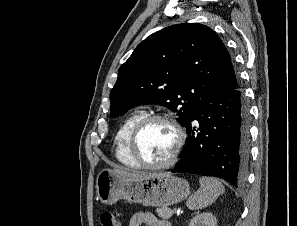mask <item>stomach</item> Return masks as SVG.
I'll use <instances>...</instances> for the list:
<instances>
[{"label": "stomach", "mask_w": 297, "mask_h": 226, "mask_svg": "<svg viewBox=\"0 0 297 226\" xmlns=\"http://www.w3.org/2000/svg\"><path fill=\"white\" fill-rule=\"evenodd\" d=\"M96 193L106 205L124 199L146 206L166 207L186 199L190 194V186L185 179L169 173L154 174L143 179H126L110 169H104L97 176Z\"/></svg>", "instance_id": "1"}]
</instances>
